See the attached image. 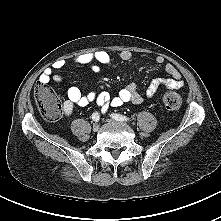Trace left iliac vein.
Returning a JSON list of instances; mask_svg holds the SVG:
<instances>
[{
  "label": "left iliac vein",
  "mask_w": 221,
  "mask_h": 221,
  "mask_svg": "<svg viewBox=\"0 0 221 221\" xmlns=\"http://www.w3.org/2000/svg\"><path fill=\"white\" fill-rule=\"evenodd\" d=\"M107 121H108V122H117V123H120V124H124L123 122L114 121V120H111V119H108Z\"/></svg>",
  "instance_id": "obj_1"
}]
</instances>
